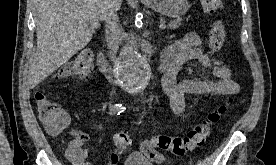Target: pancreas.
I'll list each match as a JSON object with an SVG mask.
<instances>
[{
	"label": "pancreas",
	"mask_w": 276,
	"mask_h": 165,
	"mask_svg": "<svg viewBox=\"0 0 276 165\" xmlns=\"http://www.w3.org/2000/svg\"><path fill=\"white\" fill-rule=\"evenodd\" d=\"M180 19L177 20H172L168 23V28L169 29H176L180 26Z\"/></svg>",
	"instance_id": "cf45deb5"
}]
</instances>
